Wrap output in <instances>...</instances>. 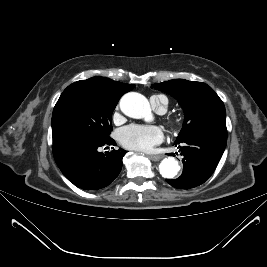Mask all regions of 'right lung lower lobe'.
<instances>
[{
	"instance_id": "98d812e1",
	"label": "right lung lower lobe",
	"mask_w": 267,
	"mask_h": 267,
	"mask_svg": "<svg viewBox=\"0 0 267 267\" xmlns=\"http://www.w3.org/2000/svg\"><path fill=\"white\" fill-rule=\"evenodd\" d=\"M116 145L105 141L69 139L53 144L55 161L64 176L78 188L99 190L113 182L122 169L123 149L99 152L101 146Z\"/></svg>"
}]
</instances>
